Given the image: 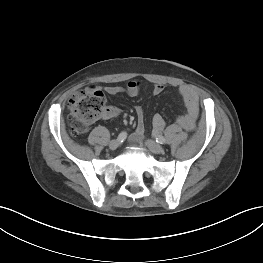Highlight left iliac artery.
<instances>
[{"instance_id": "1", "label": "left iliac artery", "mask_w": 263, "mask_h": 263, "mask_svg": "<svg viewBox=\"0 0 263 263\" xmlns=\"http://www.w3.org/2000/svg\"><path fill=\"white\" fill-rule=\"evenodd\" d=\"M156 142L160 143V144H165L166 143V139L163 136H161V135H157L156 136Z\"/></svg>"}]
</instances>
